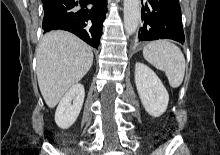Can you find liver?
Instances as JSON below:
<instances>
[{
    "mask_svg": "<svg viewBox=\"0 0 220 155\" xmlns=\"http://www.w3.org/2000/svg\"><path fill=\"white\" fill-rule=\"evenodd\" d=\"M92 63V48L75 35L60 30L45 34L37 48L36 71L47 106L54 108Z\"/></svg>",
    "mask_w": 220,
    "mask_h": 155,
    "instance_id": "6515ba94",
    "label": "liver"
}]
</instances>
